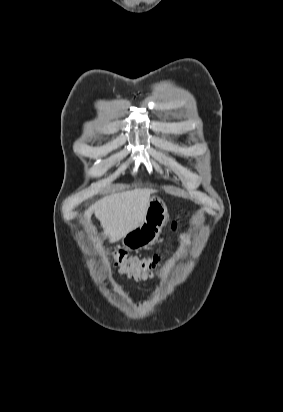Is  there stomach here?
Wrapping results in <instances>:
<instances>
[{"label": "stomach", "mask_w": 283, "mask_h": 412, "mask_svg": "<svg viewBox=\"0 0 283 412\" xmlns=\"http://www.w3.org/2000/svg\"><path fill=\"white\" fill-rule=\"evenodd\" d=\"M168 220V209L158 197H153L148 205L144 221L122 238L128 250H140L153 244Z\"/></svg>", "instance_id": "obj_1"}]
</instances>
